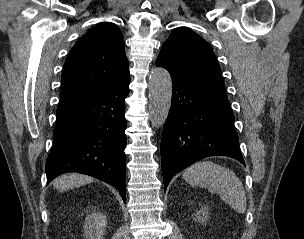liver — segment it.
I'll return each mask as SVG.
<instances>
[{"instance_id": "1", "label": "liver", "mask_w": 304, "mask_h": 239, "mask_svg": "<svg viewBox=\"0 0 304 239\" xmlns=\"http://www.w3.org/2000/svg\"><path fill=\"white\" fill-rule=\"evenodd\" d=\"M92 181L93 179L89 176L71 173L58 177L56 180H54L53 186L59 191L63 192L65 190L74 189L76 187L88 184Z\"/></svg>"}]
</instances>
